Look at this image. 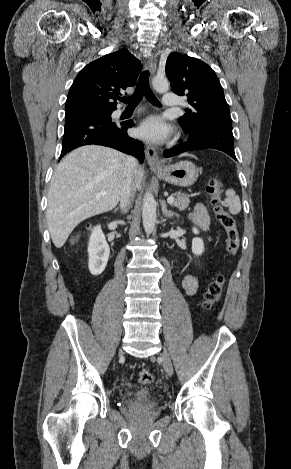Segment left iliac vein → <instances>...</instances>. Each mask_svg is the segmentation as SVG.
Segmentation results:
<instances>
[{
	"label": "left iliac vein",
	"instance_id": "1",
	"mask_svg": "<svg viewBox=\"0 0 291 469\" xmlns=\"http://www.w3.org/2000/svg\"><path fill=\"white\" fill-rule=\"evenodd\" d=\"M162 364L167 375L171 376L173 374V367L171 363L170 356L166 350H163L161 353Z\"/></svg>",
	"mask_w": 291,
	"mask_h": 469
}]
</instances>
